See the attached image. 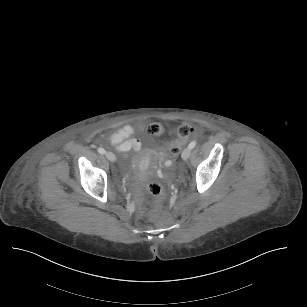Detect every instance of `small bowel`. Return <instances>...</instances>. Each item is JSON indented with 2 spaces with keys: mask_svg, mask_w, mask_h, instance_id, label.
<instances>
[{
  "mask_svg": "<svg viewBox=\"0 0 307 307\" xmlns=\"http://www.w3.org/2000/svg\"><path fill=\"white\" fill-rule=\"evenodd\" d=\"M133 133V126L126 124L116 132L112 133L109 137V141L119 152H128L132 149H139L140 142L137 139L131 138Z\"/></svg>",
  "mask_w": 307,
  "mask_h": 307,
  "instance_id": "c3829d8e",
  "label": "small bowel"
}]
</instances>
